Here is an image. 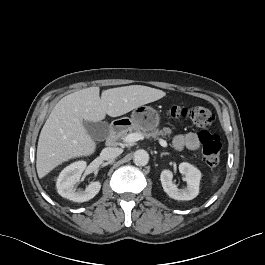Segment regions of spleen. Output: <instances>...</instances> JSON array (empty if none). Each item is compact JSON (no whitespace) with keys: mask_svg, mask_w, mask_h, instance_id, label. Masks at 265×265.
<instances>
[{"mask_svg":"<svg viewBox=\"0 0 265 265\" xmlns=\"http://www.w3.org/2000/svg\"><path fill=\"white\" fill-rule=\"evenodd\" d=\"M217 182V176H214L212 183L215 184Z\"/></svg>","mask_w":265,"mask_h":265,"instance_id":"obj_1","label":"spleen"}]
</instances>
